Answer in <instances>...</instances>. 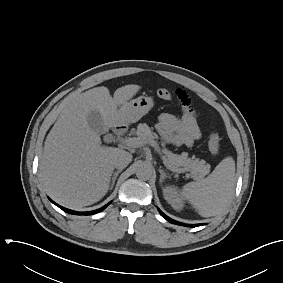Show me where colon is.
<instances>
[{
	"label": "colon",
	"instance_id": "1",
	"mask_svg": "<svg viewBox=\"0 0 283 283\" xmlns=\"http://www.w3.org/2000/svg\"><path fill=\"white\" fill-rule=\"evenodd\" d=\"M157 95L163 100H170L173 96V92L166 88L157 90ZM208 147L213 156H218L221 151L220 137L216 132H211L208 136Z\"/></svg>",
	"mask_w": 283,
	"mask_h": 283
}]
</instances>
